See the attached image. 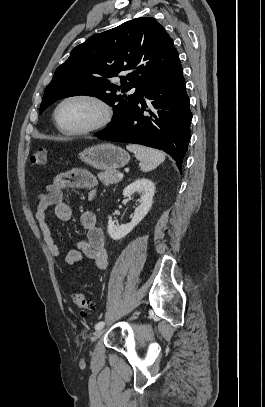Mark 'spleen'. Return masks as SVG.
<instances>
[{
    "label": "spleen",
    "mask_w": 265,
    "mask_h": 407,
    "mask_svg": "<svg viewBox=\"0 0 265 407\" xmlns=\"http://www.w3.org/2000/svg\"><path fill=\"white\" fill-rule=\"evenodd\" d=\"M126 149L135 154V157L140 161V168L143 172L155 169L165 160L163 152L150 147L129 144Z\"/></svg>",
    "instance_id": "obj_1"
}]
</instances>
